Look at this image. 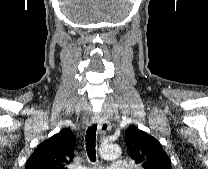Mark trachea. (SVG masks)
<instances>
[{
  "label": "trachea",
  "instance_id": "3493384b",
  "mask_svg": "<svg viewBox=\"0 0 208 169\" xmlns=\"http://www.w3.org/2000/svg\"><path fill=\"white\" fill-rule=\"evenodd\" d=\"M96 130L97 124H93L92 126L88 127L86 131V150L88 157L92 162L96 160Z\"/></svg>",
  "mask_w": 208,
  "mask_h": 169
}]
</instances>
